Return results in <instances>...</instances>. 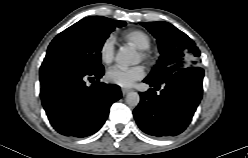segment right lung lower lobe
<instances>
[{"label": "right lung lower lobe", "instance_id": "right-lung-lower-lobe-1", "mask_svg": "<svg viewBox=\"0 0 248 158\" xmlns=\"http://www.w3.org/2000/svg\"><path fill=\"white\" fill-rule=\"evenodd\" d=\"M104 68L83 70L70 65L42 64L41 100L51 125L65 136L85 137L106 121L110 106L121 98L120 87L99 82ZM88 78L92 84L85 83Z\"/></svg>", "mask_w": 248, "mask_h": 158}]
</instances>
